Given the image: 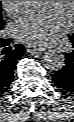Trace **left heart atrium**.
<instances>
[{"instance_id":"left-heart-atrium-1","label":"left heart atrium","mask_w":74,"mask_h":122,"mask_svg":"<svg viewBox=\"0 0 74 122\" xmlns=\"http://www.w3.org/2000/svg\"><path fill=\"white\" fill-rule=\"evenodd\" d=\"M69 26L70 19L65 17L57 6L28 10L11 23L12 31L19 41L36 45L53 42L65 33Z\"/></svg>"}]
</instances>
